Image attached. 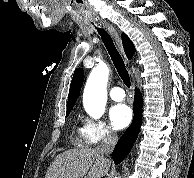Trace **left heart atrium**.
<instances>
[{
    "label": "left heart atrium",
    "mask_w": 194,
    "mask_h": 178,
    "mask_svg": "<svg viewBox=\"0 0 194 178\" xmlns=\"http://www.w3.org/2000/svg\"><path fill=\"white\" fill-rule=\"evenodd\" d=\"M109 118L115 129H123L129 125L132 120V111L125 104H116L109 111Z\"/></svg>",
    "instance_id": "left-heart-atrium-1"
}]
</instances>
